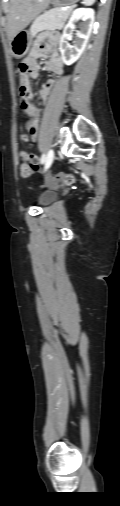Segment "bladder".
I'll return each mask as SVG.
<instances>
[{
    "label": "bladder",
    "mask_w": 120,
    "mask_h": 506,
    "mask_svg": "<svg viewBox=\"0 0 120 506\" xmlns=\"http://www.w3.org/2000/svg\"><path fill=\"white\" fill-rule=\"evenodd\" d=\"M57 198V193L53 190H45L38 196L40 205L45 206L52 203Z\"/></svg>",
    "instance_id": "obj_1"
}]
</instances>
